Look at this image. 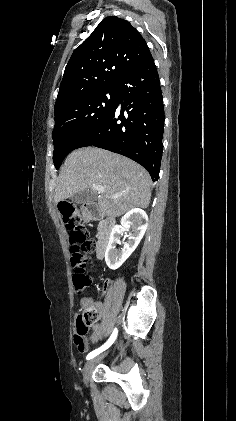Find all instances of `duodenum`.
Returning <instances> with one entry per match:
<instances>
[{"mask_svg": "<svg viewBox=\"0 0 236 421\" xmlns=\"http://www.w3.org/2000/svg\"><path fill=\"white\" fill-rule=\"evenodd\" d=\"M85 221H99V233L96 246V253L99 259H102L110 243V239L115 227V219L108 215H103L98 206L94 203H86L82 207ZM103 326L96 333L93 341L97 342L103 335Z\"/></svg>", "mask_w": 236, "mask_h": 421, "instance_id": "1", "label": "duodenum"}]
</instances>
